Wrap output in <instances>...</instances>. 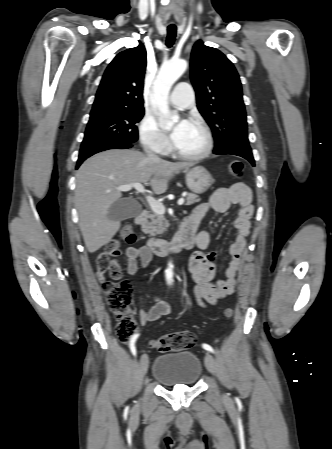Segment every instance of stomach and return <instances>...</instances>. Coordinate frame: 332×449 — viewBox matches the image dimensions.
Wrapping results in <instances>:
<instances>
[{"label":"stomach","mask_w":332,"mask_h":449,"mask_svg":"<svg viewBox=\"0 0 332 449\" xmlns=\"http://www.w3.org/2000/svg\"><path fill=\"white\" fill-rule=\"evenodd\" d=\"M185 174L188 188L196 194L206 192L214 182L211 174L202 166L186 169Z\"/></svg>","instance_id":"obj_1"}]
</instances>
